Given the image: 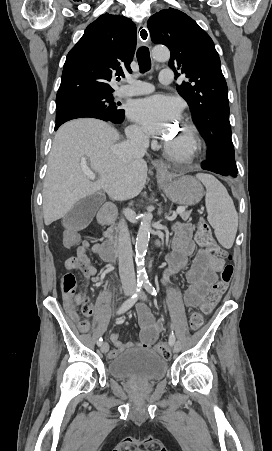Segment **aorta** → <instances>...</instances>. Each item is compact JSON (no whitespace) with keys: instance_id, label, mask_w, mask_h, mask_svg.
Returning <instances> with one entry per match:
<instances>
[{"instance_id":"1","label":"aorta","mask_w":272,"mask_h":451,"mask_svg":"<svg viewBox=\"0 0 272 451\" xmlns=\"http://www.w3.org/2000/svg\"><path fill=\"white\" fill-rule=\"evenodd\" d=\"M151 56L153 60H157V62H165V60H169L170 52L168 48H159V46H155ZM151 218L152 214H143L142 222L136 237L135 261L137 263L138 281H146L147 279V273L144 267V255L149 243Z\"/></svg>"}]
</instances>
